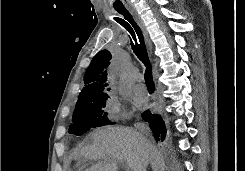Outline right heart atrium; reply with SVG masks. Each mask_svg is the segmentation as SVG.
<instances>
[{"label":"right heart atrium","mask_w":245,"mask_h":171,"mask_svg":"<svg viewBox=\"0 0 245 171\" xmlns=\"http://www.w3.org/2000/svg\"><path fill=\"white\" fill-rule=\"evenodd\" d=\"M103 111L107 118L112 120H120L125 117V110L118 99L111 95L106 99Z\"/></svg>","instance_id":"d8ad5b80"}]
</instances>
